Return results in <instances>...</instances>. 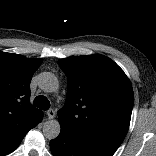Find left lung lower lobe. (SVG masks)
Wrapping results in <instances>:
<instances>
[{"label": "left lung lower lobe", "instance_id": "1", "mask_svg": "<svg viewBox=\"0 0 156 156\" xmlns=\"http://www.w3.org/2000/svg\"><path fill=\"white\" fill-rule=\"evenodd\" d=\"M50 149L54 156H112L117 148L61 125L59 136L50 142Z\"/></svg>", "mask_w": 156, "mask_h": 156}]
</instances>
